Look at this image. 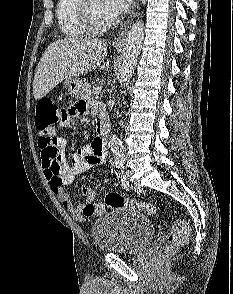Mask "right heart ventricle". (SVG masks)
I'll return each mask as SVG.
<instances>
[{"label": "right heart ventricle", "instance_id": "1", "mask_svg": "<svg viewBox=\"0 0 233 294\" xmlns=\"http://www.w3.org/2000/svg\"><path fill=\"white\" fill-rule=\"evenodd\" d=\"M84 0H59L57 21L61 32L68 38L80 39L90 36L82 18Z\"/></svg>", "mask_w": 233, "mask_h": 294}]
</instances>
